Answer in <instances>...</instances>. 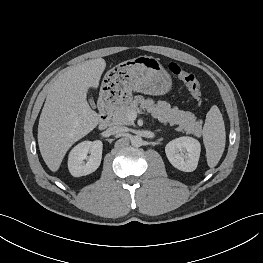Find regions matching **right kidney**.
I'll return each mask as SVG.
<instances>
[{"mask_svg": "<svg viewBox=\"0 0 263 263\" xmlns=\"http://www.w3.org/2000/svg\"><path fill=\"white\" fill-rule=\"evenodd\" d=\"M103 144L100 140L83 141L69 153L68 168L72 176L81 177L94 172L102 159ZM90 153V156L87 154ZM86 160V162H85Z\"/></svg>", "mask_w": 263, "mask_h": 263, "instance_id": "ca27d5eb", "label": "right kidney"}]
</instances>
